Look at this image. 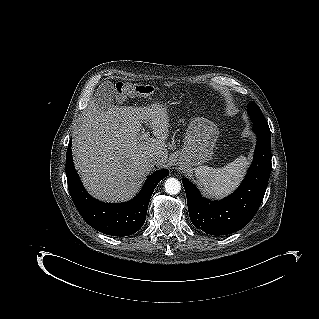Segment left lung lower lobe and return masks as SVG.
I'll list each match as a JSON object with an SVG mask.
<instances>
[{
    "mask_svg": "<svg viewBox=\"0 0 319 319\" xmlns=\"http://www.w3.org/2000/svg\"><path fill=\"white\" fill-rule=\"evenodd\" d=\"M257 144L253 162L240 187L220 201L204 199L187 179L189 216L193 225L210 235H227L246 226L256 214L266 191L271 172V134L268 125H254Z\"/></svg>",
    "mask_w": 319,
    "mask_h": 319,
    "instance_id": "left-lung-lower-lobe-1",
    "label": "left lung lower lobe"
}]
</instances>
